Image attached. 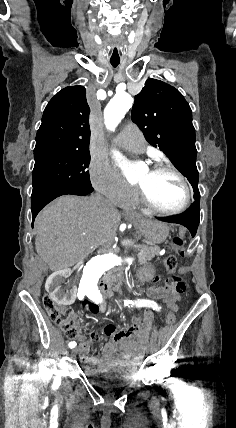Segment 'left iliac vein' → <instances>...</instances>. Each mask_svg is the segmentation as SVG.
Segmentation results:
<instances>
[{
	"instance_id": "1",
	"label": "left iliac vein",
	"mask_w": 236,
	"mask_h": 428,
	"mask_svg": "<svg viewBox=\"0 0 236 428\" xmlns=\"http://www.w3.org/2000/svg\"><path fill=\"white\" fill-rule=\"evenodd\" d=\"M157 345V340H152V343H151V349L153 350L154 348H155V346Z\"/></svg>"
}]
</instances>
